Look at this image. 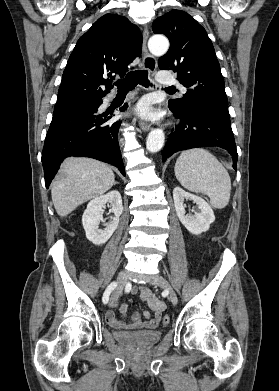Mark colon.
I'll use <instances>...</instances> for the list:
<instances>
[{"label": "colon", "mask_w": 279, "mask_h": 391, "mask_svg": "<svg viewBox=\"0 0 279 391\" xmlns=\"http://www.w3.org/2000/svg\"><path fill=\"white\" fill-rule=\"evenodd\" d=\"M169 322V317L168 316H164L163 317V324H168Z\"/></svg>", "instance_id": "5ec220e1"}]
</instances>
